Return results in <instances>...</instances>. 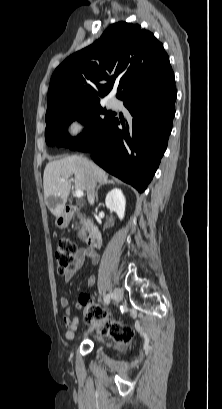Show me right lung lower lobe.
Listing matches in <instances>:
<instances>
[{
	"mask_svg": "<svg viewBox=\"0 0 222 409\" xmlns=\"http://www.w3.org/2000/svg\"><path fill=\"white\" fill-rule=\"evenodd\" d=\"M159 78L162 88L123 99L131 116L120 121L114 116L101 141L77 149L92 152L91 158L98 165L139 192L146 189L158 168L175 115L174 74Z\"/></svg>",
	"mask_w": 222,
	"mask_h": 409,
	"instance_id": "98d812e1",
	"label": "right lung lower lobe"
}]
</instances>
